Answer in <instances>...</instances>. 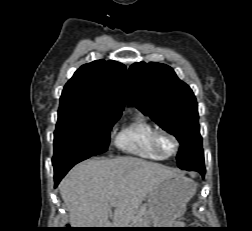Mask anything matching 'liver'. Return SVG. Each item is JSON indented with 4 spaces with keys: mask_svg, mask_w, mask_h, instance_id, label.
<instances>
[{
    "mask_svg": "<svg viewBox=\"0 0 252 231\" xmlns=\"http://www.w3.org/2000/svg\"><path fill=\"white\" fill-rule=\"evenodd\" d=\"M173 170L136 157L90 159L76 165L59 190L75 228H128L142 202ZM114 208L113 220H109Z\"/></svg>",
    "mask_w": 252,
    "mask_h": 231,
    "instance_id": "obj_1",
    "label": "liver"
}]
</instances>
